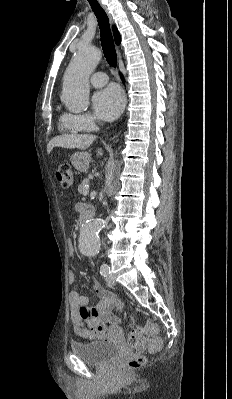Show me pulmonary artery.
Here are the masks:
<instances>
[{
    "mask_svg": "<svg viewBox=\"0 0 232 399\" xmlns=\"http://www.w3.org/2000/svg\"><path fill=\"white\" fill-rule=\"evenodd\" d=\"M92 90H102L103 84H108V77L106 73H103L102 69H97L94 77H92Z\"/></svg>",
    "mask_w": 232,
    "mask_h": 399,
    "instance_id": "pulmonary-artery-1",
    "label": "pulmonary artery"
}]
</instances>
